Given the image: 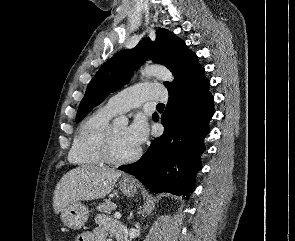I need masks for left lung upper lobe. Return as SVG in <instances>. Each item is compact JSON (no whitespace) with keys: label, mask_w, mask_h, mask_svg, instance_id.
Listing matches in <instances>:
<instances>
[{"label":"left lung upper lobe","mask_w":295,"mask_h":241,"mask_svg":"<svg viewBox=\"0 0 295 241\" xmlns=\"http://www.w3.org/2000/svg\"><path fill=\"white\" fill-rule=\"evenodd\" d=\"M148 57H151L155 63L165 65L175 75L173 83H164L168 92L181 90L204 71L197 61L196 54L187 48L183 40L167 29L160 28L156 32L154 43L146 37L135 48L118 52L102 65L89 83L80 102L76 122H80L110 92L126 84L134 70Z\"/></svg>","instance_id":"obj_1"}]
</instances>
